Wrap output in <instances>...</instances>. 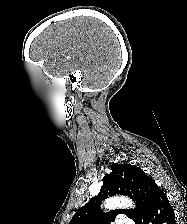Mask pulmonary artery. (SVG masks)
I'll use <instances>...</instances> for the list:
<instances>
[{
	"label": "pulmonary artery",
	"instance_id": "1",
	"mask_svg": "<svg viewBox=\"0 0 187 224\" xmlns=\"http://www.w3.org/2000/svg\"><path fill=\"white\" fill-rule=\"evenodd\" d=\"M116 224H135V223L133 220L121 216L117 219Z\"/></svg>",
	"mask_w": 187,
	"mask_h": 224
}]
</instances>
